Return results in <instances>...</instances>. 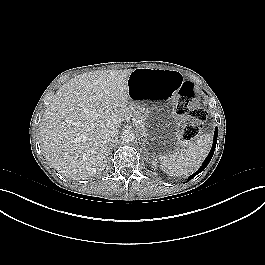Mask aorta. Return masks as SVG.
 Segmentation results:
<instances>
[{
    "label": "aorta",
    "mask_w": 265,
    "mask_h": 265,
    "mask_svg": "<svg viewBox=\"0 0 265 265\" xmlns=\"http://www.w3.org/2000/svg\"><path fill=\"white\" fill-rule=\"evenodd\" d=\"M121 139L122 141L129 143V142H133L135 139V134L133 131L130 130H125L122 134H121Z\"/></svg>",
    "instance_id": "aorta-1"
}]
</instances>
